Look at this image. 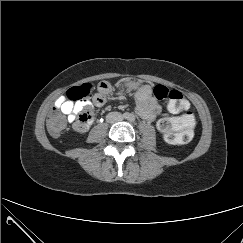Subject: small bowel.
<instances>
[{"label": "small bowel", "instance_id": "1", "mask_svg": "<svg viewBox=\"0 0 243 243\" xmlns=\"http://www.w3.org/2000/svg\"><path fill=\"white\" fill-rule=\"evenodd\" d=\"M106 94L97 92L93 103L90 101L72 102L62 96L56 100L55 107L61 111L69 123L74 122L75 124L76 117L79 113L83 111H90L92 113L94 106H103ZM136 112L146 121H153L162 112V107L152 95V90L148 85L140 87L136 93ZM88 126L80 131H85Z\"/></svg>", "mask_w": 243, "mask_h": 243}]
</instances>
